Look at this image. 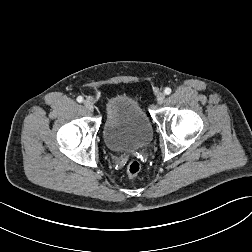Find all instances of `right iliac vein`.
Returning <instances> with one entry per match:
<instances>
[{"instance_id":"63e3f726","label":"right iliac vein","mask_w":252,"mask_h":252,"mask_svg":"<svg viewBox=\"0 0 252 252\" xmlns=\"http://www.w3.org/2000/svg\"><path fill=\"white\" fill-rule=\"evenodd\" d=\"M83 104H84L85 108H86L88 111H90V112L93 111L94 106H93V103H92L90 100H85Z\"/></svg>"}]
</instances>
